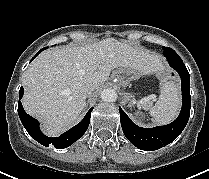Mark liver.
Segmentation results:
<instances>
[{
	"instance_id": "obj_1",
	"label": "liver",
	"mask_w": 209,
	"mask_h": 179,
	"mask_svg": "<svg viewBox=\"0 0 209 179\" xmlns=\"http://www.w3.org/2000/svg\"><path fill=\"white\" fill-rule=\"evenodd\" d=\"M116 69L148 75L163 69L162 58L114 38L83 46L55 47L42 52L23 73L25 111L43 122L48 136L65 132L85 107L84 88L103 85Z\"/></svg>"
}]
</instances>
